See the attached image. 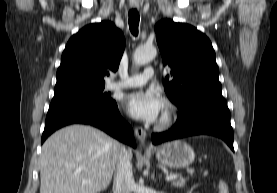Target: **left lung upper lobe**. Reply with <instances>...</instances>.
Listing matches in <instances>:
<instances>
[{
  "label": "left lung upper lobe",
  "instance_id": "left-lung-upper-lobe-1",
  "mask_svg": "<svg viewBox=\"0 0 277 193\" xmlns=\"http://www.w3.org/2000/svg\"><path fill=\"white\" fill-rule=\"evenodd\" d=\"M155 31L163 64L171 68L172 81L167 76L164 89L179 112L201 96L221 94L215 52L203 33L167 19Z\"/></svg>",
  "mask_w": 277,
  "mask_h": 193
}]
</instances>
